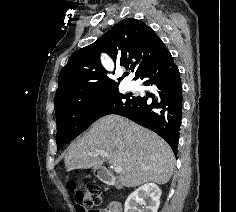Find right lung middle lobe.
<instances>
[{
    "mask_svg": "<svg viewBox=\"0 0 236 212\" xmlns=\"http://www.w3.org/2000/svg\"><path fill=\"white\" fill-rule=\"evenodd\" d=\"M130 97L116 88L81 98L56 111L57 149L72 141L97 119L129 105L135 98Z\"/></svg>",
    "mask_w": 236,
    "mask_h": 212,
    "instance_id": "dd1d6c3e",
    "label": "right lung middle lobe"
}]
</instances>
